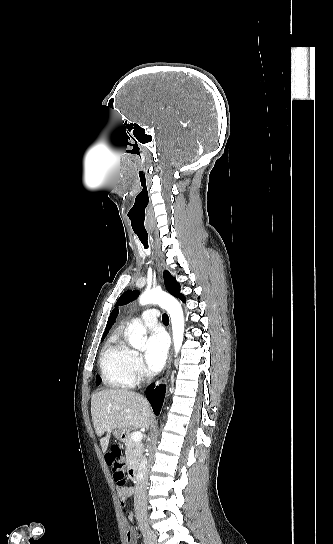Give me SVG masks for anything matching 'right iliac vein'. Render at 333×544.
<instances>
[{"label":"right iliac vein","mask_w":333,"mask_h":544,"mask_svg":"<svg viewBox=\"0 0 333 544\" xmlns=\"http://www.w3.org/2000/svg\"><path fill=\"white\" fill-rule=\"evenodd\" d=\"M140 529L147 544H157L155 534L146 523H140Z\"/></svg>","instance_id":"1"}]
</instances>
